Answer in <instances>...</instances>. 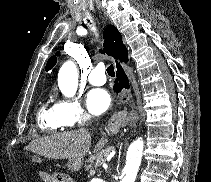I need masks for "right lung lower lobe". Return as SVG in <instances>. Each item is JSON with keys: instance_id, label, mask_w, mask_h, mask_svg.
<instances>
[{"instance_id": "right-lung-lower-lobe-1", "label": "right lung lower lobe", "mask_w": 211, "mask_h": 182, "mask_svg": "<svg viewBox=\"0 0 211 182\" xmlns=\"http://www.w3.org/2000/svg\"><path fill=\"white\" fill-rule=\"evenodd\" d=\"M119 60L121 62H127L128 53L126 49L125 52L120 56ZM116 66H117V74H116L117 79L115 80L114 91L116 93H119L123 88H129V81L122 66L118 62H116Z\"/></svg>"}]
</instances>
